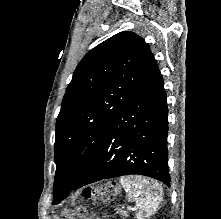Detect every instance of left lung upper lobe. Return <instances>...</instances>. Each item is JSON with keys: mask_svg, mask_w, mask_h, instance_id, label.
I'll return each mask as SVG.
<instances>
[{"mask_svg": "<svg viewBox=\"0 0 221 219\" xmlns=\"http://www.w3.org/2000/svg\"><path fill=\"white\" fill-rule=\"evenodd\" d=\"M155 63L141 37L120 32L90 50L78 64L56 122L55 204L73 190L114 119L142 87Z\"/></svg>", "mask_w": 221, "mask_h": 219, "instance_id": "5c2ea615", "label": "left lung upper lobe"}]
</instances>
